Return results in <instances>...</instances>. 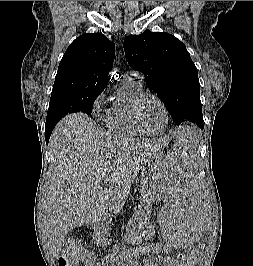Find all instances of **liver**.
<instances>
[{
    "label": "liver",
    "instance_id": "liver-1",
    "mask_svg": "<svg viewBox=\"0 0 253 266\" xmlns=\"http://www.w3.org/2000/svg\"><path fill=\"white\" fill-rule=\"evenodd\" d=\"M49 144L54 171L45 195L44 224L57 257L67 234L78 225L98 226L123 210L144 163L168 140L109 135L90 117L76 113L56 125Z\"/></svg>",
    "mask_w": 253,
    "mask_h": 266
}]
</instances>
